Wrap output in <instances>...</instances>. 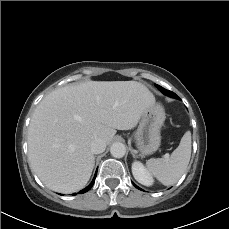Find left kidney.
<instances>
[{"label":"left kidney","instance_id":"5707ae66","mask_svg":"<svg viewBox=\"0 0 229 229\" xmlns=\"http://www.w3.org/2000/svg\"><path fill=\"white\" fill-rule=\"evenodd\" d=\"M132 174L135 180L142 185L151 186L154 182L153 177L151 176L149 171L139 161H135L132 164Z\"/></svg>","mask_w":229,"mask_h":229}]
</instances>
